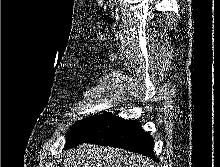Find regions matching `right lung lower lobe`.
I'll return each instance as SVG.
<instances>
[{
  "instance_id": "1",
  "label": "right lung lower lobe",
  "mask_w": 220,
  "mask_h": 167,
  "mask_svg": "<svg viewBox=\"0 0 220 167\" xmlns=\"http://www.w3.org/2000/svg\"><path fill=\"white\" fill-rule=\"evenodd\" d=\"M113 146L153 158V139L140 124L108 115L84 141ZM154 160L157 161L156 158Z\"/></svg>"
}]
</instances>
